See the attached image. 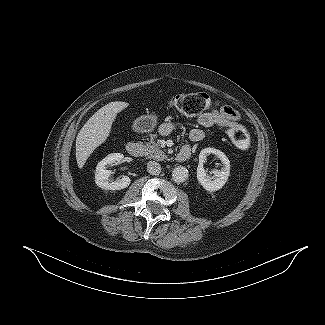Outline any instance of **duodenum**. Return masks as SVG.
Returning <instances> with one entry per match:
<instances>
[{
	"label": "duodenum",
	"instance_id": "1",
	"mask_svg": "<svg viewBox=\"0 0 325 325\" xmlns=\"http://www.w3.org/2000/svg\"><path fill=\"white\" fill-rule=\"evenodd\" d=\"M126 151L129 155L133 157H138L142 153V146L138 142H129L126 145ZM191 156V148L189 146H184L176 155L175 160L177 162H184L188 160Z\"/></svg>",
	"mask_w": 325,
	"mask_h": 325
}]
</instances>
